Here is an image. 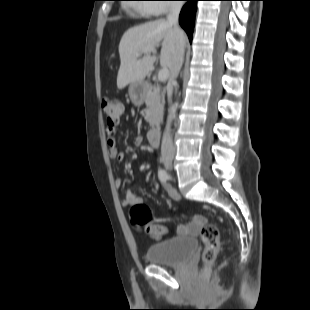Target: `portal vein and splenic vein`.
Masks as SVG:
<instances>
[{
	"mask_svg": "<svg viewBox=\"0 0 310 310\" xmlns=\"http://www.w3.org/2000/svg\"><path fill=\"white\" fill-rule=\"evenodd\" d=\"M144 53L155 52L154 47H148L143 50ZM169 77V70L167 68H162L158 73V80L164 82Z\"/></svg>",
	"mask_w": 310,
	"mask_h": 310,
	"instance_id": "1",
	"label": "portal vein and splenic vein"
}]
</instances>
